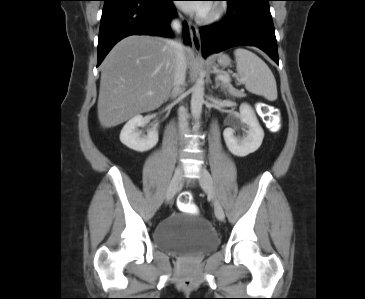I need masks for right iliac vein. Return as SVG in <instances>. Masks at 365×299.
Wrapping results in <instances>:
<instances>
[{
	"instance_id": "right-iliac-vein-1",
	"label": "right iliac vein",
	"mask_w": 365,
	"mask_h": 299,
	"mask_svg": "<svg viewBox=\"0 0 365 299\" xmlns=\"http://www.w3.org/2000/svg\"><path fill=\"white\" fill-rule=\"evenodd\" d=\"M181 175H182V168L180 166H178L175 169L174 175H173L171 182L167 189V193H166V202L167 203L170 202L172 200V198L174 197V195L178 189L180 180H181Z\"/></svg>"
}]
</instances>
